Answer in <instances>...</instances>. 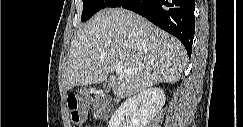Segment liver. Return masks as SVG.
I'll return each instance as SVG.
<instances>
[{
	"label": "liver",
	"mask_w": 243,
	"mask_h": 127,
	"mask_svg": "<svg viewBox=\"0 0 243 127\" xmlns=\"http://www.w3.org/2000/svg\"><path fill=\"white\" fill-rule=\"evenodd\" d=\"M187 53L180 41L147 19L123 8H105L77 31L66 67V88L108 79L117 97H130L153 85L180 79ZM126 70L115 76L112 64Z\"/></svg>",
	"instance_id": "6515ba94"
}]
</instances>
